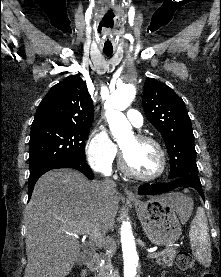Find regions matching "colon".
<instances>
[{
	"label": "colon",
	"instance_id": "obj_1",
	"mask_svg": "<svg viewBox=\"0 0 221 277\" xmlns=\"http://www.w3.org/2000/svg\"><path fill=\"white\" fill-rule=\"evenodd\" d=\"M176 264L182 270H189L194 267L195 261L190 253L180 251L176 255ZM199 277H215V275L210 271H202Z\"/></svg>",
	"mask_w": 221,
	"mask_h": 277
}]
</instances>
